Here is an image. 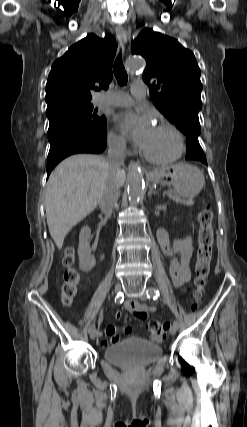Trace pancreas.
<instances>
[{
	"instance_id": "cf45deb5",
	"label": "pancreas",
	"mask_w": 247,
	"mask_h": 427,
	"mask_svg": "<svg viewBox=\"0 0 247 427\" xmlns=\"http://www.w3.org/2000/svg\"><path fill=\"white\" fill-rule=\"evenodd\" d=\"M173 201H175L176 203H184L186 204L187 201H185L184 199H182V197L180 195L174 194V193H169L167 194Z\"/></svg>"
}]
</instances>
